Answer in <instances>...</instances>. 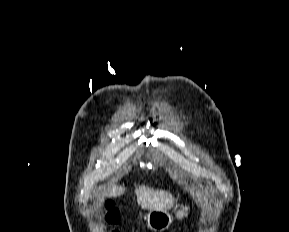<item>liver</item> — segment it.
I'll list each match as a JSON object with an SVG mask.
<instances>
[{
  "label": "liver",
  "mask_w": 289,
  "mask_h": 232,
  "mask_svg": "<svg viewBox=\"0 0 289 232\" xmlns=\"http://www.w3.org/2000/svg\"><path fill=\"white\" fill-rule=\"evenodd\" d=\"M125 192L124 186L112 185L104 187L103 196L117 197ZM137 203L148 210H167L174 204V197L169 191L156 190L150 187H136Z\"/></svg>",
  "instance_id": "liver-1"
}]
</instances>
